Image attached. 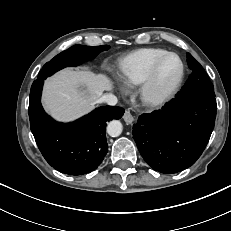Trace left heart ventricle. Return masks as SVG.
<instances>
[{
  "instance_id": "left-heart-ventricle-1",
  "label": "left heart ventricle",
  "mask_w": 231,
  "mask_h": 231,
  "mask_svg": "<svg viewBox=\"0 0 231 231\" xmlns=\"http://www.w3.org/2000/svg\"><path fill=\"white\" fill-rule=\"evenodd\" d=\"M180 68V62L176 57L171 56L167 58L161 65L156 76L153 87L154 92H162L169 88L178 78Z\"/></svg>"
}]
</instances>
